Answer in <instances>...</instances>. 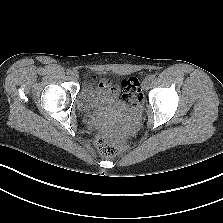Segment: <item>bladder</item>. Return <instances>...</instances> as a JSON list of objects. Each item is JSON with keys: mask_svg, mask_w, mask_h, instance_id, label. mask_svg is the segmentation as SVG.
Masks as SVG:
<instances>
[{"mask_svg": "<svg viewBox=\"0 0 223 223\" xmlns=\"http://www.w3.org/2000/svg\"><path fill=\"white\" fill-rule=\"evenodd\" d=\"M77 104L83 110H94L107 106L124 107V103L109 89L86 82L77 98Z\"/></svg>", "mask_w": 223, "mask_h": 223, "instance_id": "obj_1", "label": "bladder"}]
</instances>
